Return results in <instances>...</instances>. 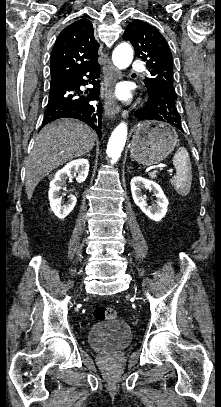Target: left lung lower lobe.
<instances>
[{"instance_id": "obj_1", "label": "left lung lower lobe", "mask_w": 221, "mask_h": 407, "mask_svg": "<svg viewBox=\"0 0 221 407\" xmlns=\"http://www.w3.org/2000/svg\"><path fill=\"white\" fill-rule=\"evenodd\" d=\"M176 99L175 90L169 87H158L155 91L148 93V101L145 106L135 111L134 115L139 120L167 122L183 131Z\"/></svg>"}]
</instances>
